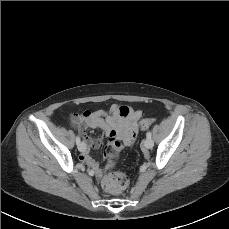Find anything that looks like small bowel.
I'll use <instances>...</instances> for the list:
<instances>
[{
    "mask_svg": "<svg viewBox=\"0 0 229 229\" xmlns=\"http://www.w3.org/2000/svg\"><path fill=\"white\" fill-rule=\"evenodd\" d=\"M141 112L127 106L113 105L109 111L104 110H85L81 113L70 116V123L82 135L85 147L81 151L80 159L86 162L92 169L98 171L99 162L89 156V151L99 146V141L87 136L88 129H101L106 136L112 131L117 133V139L110 142L108 152L104 153L106 167L114 164L116 155L121 151L123 145L130 146L135 136L133 131L138 126Z\"/></svg>",
    "mask_w": 229,
    "mask_h": 229,
    "instance_id": "obj_1",
    "label": "small bowel"
}]
</instances>
